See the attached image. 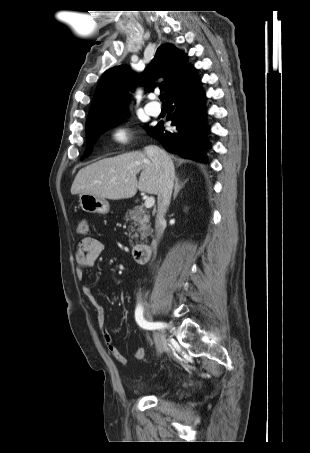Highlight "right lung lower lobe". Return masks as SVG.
Listing matches in <instances>:
<instances>
[{
	"label": "right lung lower lobe",
	"instance_id": "right-lung-lower-lobe-1",
	"mask_svg": "<svg viewBox=\"0 0 310 453\" xmlns=\"http://www.w3.org/2000/svg\"><path fill=\"white\" fill-rule=\"evenodd\" d=\"M205 94L200 80L193 70L167 97V120L176 126L173 132H164L162 123L148 129V134L157 139L162 146L172 153L185 158L205 161L204 149H207L202 128V114Z\"/></svg>",
	"mask_w": 310,
	"mask_h": 453
}]
</instances>
